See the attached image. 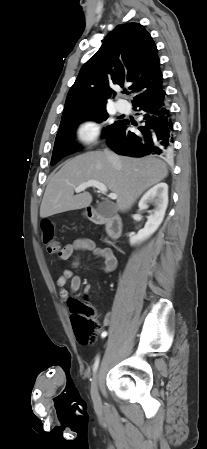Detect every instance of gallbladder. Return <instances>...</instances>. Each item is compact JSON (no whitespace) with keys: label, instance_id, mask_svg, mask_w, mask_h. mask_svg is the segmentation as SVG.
Here are the masks:
<instances>
[{"label":"gallbladder","instance_id":"1","mask_svg":"<svg viewBox=\"0 0 207 449\" xmlns=\"http://www.w3.org/2000/svg\"><path fill=\"white\" fill-rule=\"evenodd\" d=\"M97 210L99 211V213H101L102 215H105V216H111L114 213L113 207L109 206L108 204H105V203H100L97 206Z\"/></svg>","mask_w":207,"mask_h":449}]
</instances>
